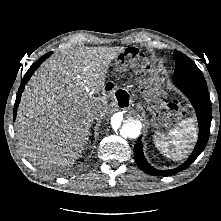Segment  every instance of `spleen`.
<instances>
[{"instance_id": "1", "label": "spleen", "mask_w": 221, "mask_h": 221, "mask_svg": "<svg viewBox=\"0 0 221 221\" xmlns=\"http://www.w3.org/2000/svg\"><path fill=\"white\" fill-rule=\"evenodd\" d=\"M197 137L195 120L188 118L179 122L167 134L155 137V146L166 157L180 160L186 156Z\"/></svg>"}]
</instances>
